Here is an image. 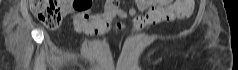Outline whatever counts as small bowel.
Wrapping results in <instances>:
<instances>
[{
    "label": "small bowel",
    "mask_w": 238,
    "mask_h": 70,
    "mask_svg": "<svg viewBox=\"0 0 238 70\" xmlns=\"http://www.w3.org/2000/svg\"><path fill=\"white\" fill-rule=\"evenodd\" d=\"M78 1V5L70 0H62V4L65 12L71 18L72 30L89 37L100 36L108 32L115 18H133L136 30L147 25L172 20L174 17H166L165 13L178 4L172 0H136L135 7L124 10L118 6L117 2H107L102 13L94 14L90 10V0ZM141 12L145 14L139 15L138 13ZM117 30H123V26L118 24Z\"/></svg>",
    "instance_id": "obj_1"
}]
</instances>
